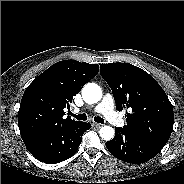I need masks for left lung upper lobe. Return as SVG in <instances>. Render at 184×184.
I'll return each mask as SVG.
<instances>
[{
	"label": "left lung upper lobe",
	"mask_w": 184,
	"mask_h": 184,
	"mask_svg": "<svg viewBox=\"0 0 184 184\" xmlns=\"http://www.w3.org/2000/svg\"><path fill=\"white\" fill-rule=\"evenodd\" d=\"M100 73L112 90L117 110H130L124 128L163 148L172 133L174 114L157 81L129 63L101 64Z\"/></svg>",
	"instance_id": "left-lung-upper-lobe-1"
}]
</instances>
